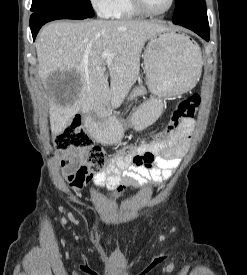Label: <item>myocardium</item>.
<instances>
[{
    "label": "myocardium",
    "mask_w": 247,
    "mask_h": 275,
    "mask_svg": "<svg viewBox=\"0 0 247 275\" xmlns=\"http://www.w3.org/2000/svg\"><path fill=\"white\" fill-rule=\"evenodd\" d=\"M135 7L143 14L149 16H161L168 13L174 6L175 0H170L169 6L163 11H153L145 3V0H132Z\"/></svg>",
    "instance_id": "obj_1"
}]
</instances>
